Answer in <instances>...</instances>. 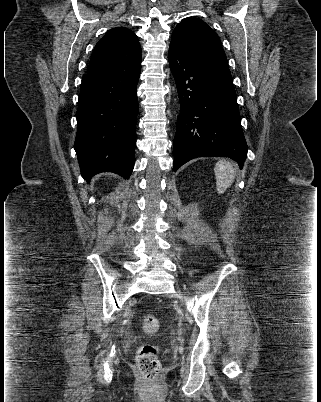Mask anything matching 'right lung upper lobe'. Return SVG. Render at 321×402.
Listing matches in <instances>:
<instances>
[{
	"instance_id": "right-lung-upper-lobe-1",
	"label": "right lung upper lobe",
	"mask_w": 321,
	"mask_h": 402,
	"mask_svg": "<svg viewBox=\"0 0 321 402\" xmlns=\"http://www.w3.org/2000/svg\"><path fill=\"white\" fill-rule=\"evenodd\" d=\"M138 67H141V47L137 36L125 27H116L96 44L87 73Z\"/></svg>"
}]
</instances>
